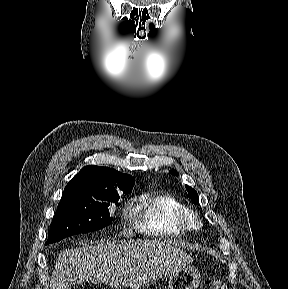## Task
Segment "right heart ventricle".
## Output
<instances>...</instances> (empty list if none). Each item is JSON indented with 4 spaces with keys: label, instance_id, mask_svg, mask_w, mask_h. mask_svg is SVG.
<instances>
[{
    "label": "right heart ventricle",
    "instance_id": "1",
    "mask_svg": "<svg viewBox=\"0 0 288 289\" xmlns=\"http://www.w3.org/2000/svg\"><path fill=\"white\" fill-rule=\"evenodd\" d=\"M188 206L169 193H146L139 198L135 211L141 214L138 228L157 238H180L190 229Z\"/></svg>",
    "mask_w": 288,
    "mask_h": 289
}]
</instances>
